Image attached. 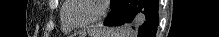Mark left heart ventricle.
I'll return each instance as SVG.
<instances>
[{"label": "left heart ventricle", "instance_id": "1", "mask_svg": "<svg viewBox=\"0 0 219 37\" xmlns=\"http://www.w3.org/2000/svg\"><path fill=\"white\" fill-rule=\"evenodd\" d=\"M99 10L97 0H74L67 12V18L75 23H83L93 18Z\"/></svg>", "mask_w": 219, "mask_h": 37}]
</instances>
